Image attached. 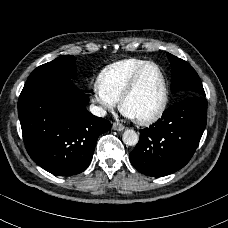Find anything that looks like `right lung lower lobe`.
<instances>
[{"label": "right lung lower lobe", "instance_id": "1", "mask_svg": "<svg viewBox=\"0 0 228 228\" xmlns=\"http://www.w3.org/2000/svg\"><path fill=\"white\" fill-rule=\"evenodd\" d=\"M88 102L67 76L25 83L18 101L23 139L32 160L46 171L70 176L89 166L98 137L111 124L88 112Z\"/></svg>", "mask_w": 228, "mask_h": 228}]
</instances>
